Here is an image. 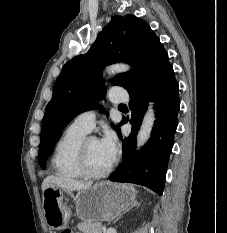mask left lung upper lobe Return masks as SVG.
Returning a JSON list of instances; mask_svg holds the SVG:
<instances>
[{"label": "left lung upper lobe", "instance_id": "1", "mask_svg": "<svg viewBox=\"0 0 227 233\" xmlns=\"http://www.w3.org/2000/svg\"><path fill=\"white\" fill-rule=\"evenodd\" d=\"M119 61L133 68L116 75L112 83L129 94L146 90L171 65L159 38L144 20L135 15L113 17L86 54L64 65L54 84L41 128L39 163L43 169L67 124L105 95L102 69ZM113 127L119 131V127Z\"/></svg>", "mask_w": 227, "mask_h": 233}]
</instances>
